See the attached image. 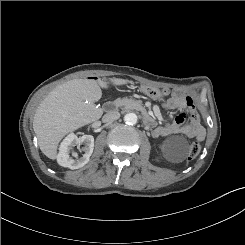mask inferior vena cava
<instances>
[{
  "instance_id": "obj_1",
  "label": "inferior vena cava",
  "mask_w": 245,
  "mask_h": 245,
  "mask_svg": "<svg viewBox=\"0 0 245 245\" xmlns=\"http://www.w3.org/2000/svg\"><path fill=\"white\" fill-rule=\"evenodd\" d=\"M120 117V113L118 111H109L103 116L104 122L115 121Z\"/></svg>"
}]
</instances>
